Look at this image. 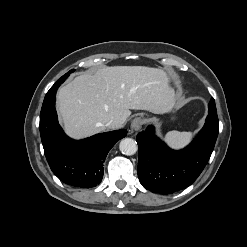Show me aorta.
Masks as SVG:
<instances>
[{
  "instance_id": "1",
  "label": "aorta",
  "mask_w": 247,
  "mask_h": 247,
  "mask_svg": "<svg viewBox=\"0 0 247 247\" xmlns=\"http://www.w3.org/2000/svg\"><path fill=\"white\" fill-rule=\"evenodd\" d=\"M119 149L122 154L130 156L137 152V143L132 138H124L119 144Z\"/></svg>"
}]
</instances>
